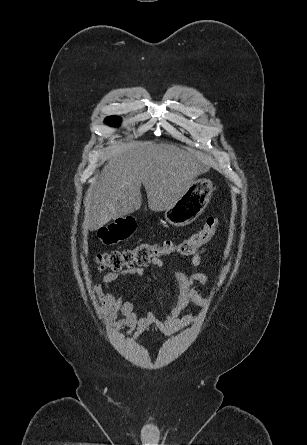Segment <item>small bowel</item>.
<instances>
[{
	"mask_svg": "<svg viewBox=\"0 0 307 445\" xmlns=\"http://www.w3.org/2000/svg\"><path fill=\"white\" fill-rule=\"evenodd\" d=\"M207 249L202 248L192 257V265L197 267L200 265L201 256L206 253ZM154 267H162L163 261L155 258L151 261ZM145 270L141 267L126 269L122 272H108L102 278V283L94 286L100 302L103 304L102 311L105 317L112 321L119 314L124 317L122 325L126 327L127 334L136 332L138 334L145 333L151 327H156L161 333L171 335L179 332L183 328L191 325L196 317L190 314L182 315L189 303L203 306L206 300L195 290L194 283L196 281L207 285L209 282L208 275L204 271H195L187 274L181 270H176L174 275L178 284V297L175 305L164 319H157L152 312H147L144 316H138L135 304L132 301L124 299L123 295H115L111 292V286L114 282L125 276L139 277L144 274Z\"/></svg>",
	"mask_w": 307,
	"mask_h": 445,
	"instance_id": "1",
	"label": "small bowel"
}]
</instances>
